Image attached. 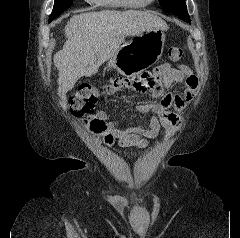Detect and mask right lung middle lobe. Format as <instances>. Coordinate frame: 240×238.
Returning a JSON list of instances; mask_svg holds the SVG:
<instances>
[{
	"instance_id": "obj_1",
	"label": "right lung middle lobe",
	"mask_w": 240,
	"mask_h": 238,
	"mask_svg": "<svg viewBox=\"0 0 240 238\" xmlns=\"http://www.w3.org/2000/svg\"><path fill=\"white\" fill-rule=\"evenodd\" d=\"M72 3L73 0H55L49 22L57 18L63 11L69 8L72 5Z\"/></svg>"
}]
</instances>
